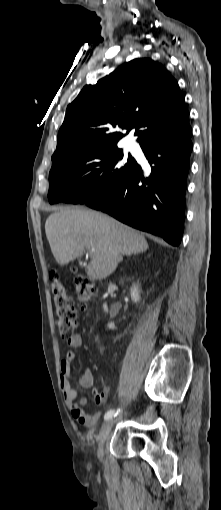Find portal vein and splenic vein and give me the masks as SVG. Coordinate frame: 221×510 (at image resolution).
<instances>
[{"instance_id":"1","label":"portal vein and splenic vein","mask_w":221,"mask_h":510,"mask_svg":"<svg viewBox=\"0 0 221 510\" xmlns=\"http://www.w3.org/2000/svg\"><path fill=\"white\" fill-rule=\"evenodd\" d=\"M91 251L94 252V248H92Z\"/></svg>"}]
</instances>
